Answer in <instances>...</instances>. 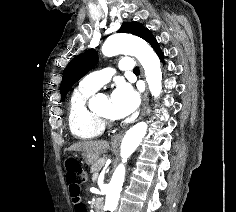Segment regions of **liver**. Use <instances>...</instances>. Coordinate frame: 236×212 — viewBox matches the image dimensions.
Returning a JSON list of instances; mask_svg holds the SVG:
<instances>
[{"label":"liver","mask_w":236,"mask_h":212,"mask_svg":"<svg viewBox=\"0 0 236 212\" xmlns=\"http://www.w3.org/2000/svg\"><path fill=\"white\" fill-rule=\"evenodd\" d=\"M109 149V143L104 140L80 141L70 146L68 151H82L98 156Z\"/></svg>","instance_id":"obj_1"}]
</instances>
